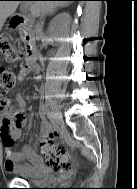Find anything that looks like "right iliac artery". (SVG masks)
<instances>
[{
  "label": "right iliac artery",
  "instance_id": "1",
  "mask_svg": "<svg viewBox=\"0 0 137 189\" xmlns=\"http://www.w3.org/2000/svg\"><path fill=\"white\" fill-rule=\"evenodd\" d=\"M40 115L42 116V117H44V118H48L49 119V122H52V116H53V114L51 113V112H49L48 110H46V109H41L40 110Z\"/></svg>",
  "mask_w": 137,
  "mask_h": 189
}]
</instances>
